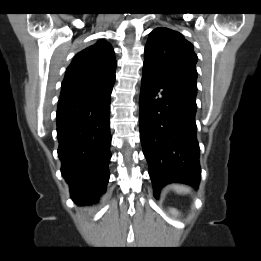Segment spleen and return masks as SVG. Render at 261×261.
Masks as SVG:
<instances>
[{
    "instance_id": "spleen-1",
    "label": "spleen",
    "mask_w": 261,
    "mask_h": 261,
    "mask_svg": "<svg viewBox=\"0 0 261 261\" xmlns=\"http://www.w3.org/2000/svg\"><path fill=\"white\" fill-rule=\"evenodd\" d=\"M173 187L176 190V192L180 193V194H185L189 191V188L186 186H183V185L176 184V185H173Z\"/></svg>"
}]
</instances>
